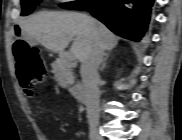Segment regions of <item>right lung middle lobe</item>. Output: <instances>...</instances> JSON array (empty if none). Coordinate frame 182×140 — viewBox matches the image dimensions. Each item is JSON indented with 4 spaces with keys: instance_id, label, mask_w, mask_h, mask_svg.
Wrapping results in <instances>:
<instances>
[{
    "instance_id": "1",
    "label": "right lung middle lobe",
    "mask_w": 182,
    "mask_h": 140,
    "mask_svg": "<svg viewBox=\"0 0 182 140\" xmlns=\"http://www.w3.org/2000/svg\"><path fill=\"white\" fill-rule=\"evenodd\" d=\"M40 1L41 0H22L21 15L26 16L30 14ZM100 2L101 0H79L74 2L63 3V4H60V6L66 9L83 10L87 6L99 4Z\"/></svg>"
}]
</instances>
